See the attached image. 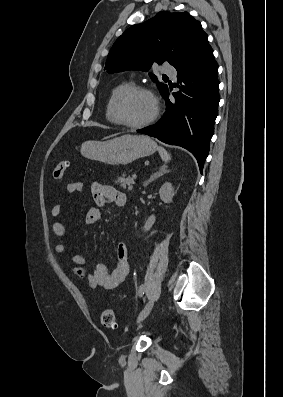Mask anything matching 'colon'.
Instances as JSON below:
<instances>
[{
    "label": "colon",
    "instance_id": "colon-1",
    "mask_svg": "<svg viewBox=\"0 0 283 397\" xmlns=\"http://www.w3.org/2000/svg\"><path fill=\"white\" fill-rule=\"evenodd\" d=\"M68 167L69 163L67 161L59 162L52 170V177L54 179H61ZM101 324L107 328H116L115 312L112 309H106L102 312Z\"/></svg>",
    "mask_w": 283,
    "mask_h": 397
}]
</instances>
